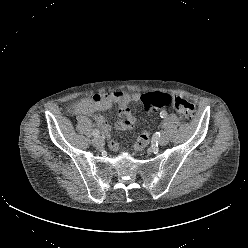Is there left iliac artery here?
<instances>
[{"label": "left iliac artery", "instance_id": "left-iliac-artery-1", "mask_svg": "<svg viewBox=\"0 0 248 248\" xmlns=\"http://www.w3.org/2000/svg\"><path fill=\"white\" fill-rule=\"evenodd\" d=\"M166 116H167V112H166V111H161V112H160V117H161V118H165ZM162 134H164L163 131H161V133H159V136L162 135Z\"/></svg>", "mask_w": 248, "mask_h": 248}]
</instances>
